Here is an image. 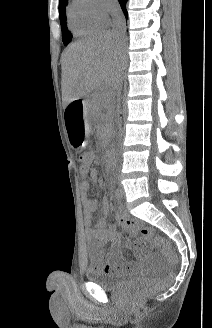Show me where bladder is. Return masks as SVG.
Masks as SVG:
<instances>
[{"label":"bladder","instance_id":"bladder-1","mask_svg":"<svg viewBox=\"0 0 212 328\" xmlns=\"http://www.w3.org/2000/svg\"><path fill=\"white\" fill-rule=\"evenodd\" d=\"M139 277V273L129 275H121L114 273H107L104 271L90 268L86 271V278L101 286L108 291H118L133 282Z\"/></svg>","mask_w":212,"mask_h":328}]
</instances>
